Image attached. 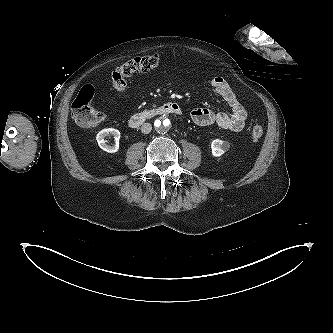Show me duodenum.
I'll use <instances>...</instances> for the list:
<instances>
[{
  "instance_id": "410a0bca",
  "label": "duodenum",
  "mask_w": 333,
  "mask_h": 333,
  "mask_svg": "<svg viewBox=\"0 0 333 333\" xmlns=\"http://www.w3.org/2000/svg\"><path fill=\"white\" fill-rule=\"evenodd\" d=\"M181 115L182 109L176 102H168L161 106L150 108L132 115L129 119L131 128L140 127L145 121L161 115Z\"/></svg>"
}]
</instances>
